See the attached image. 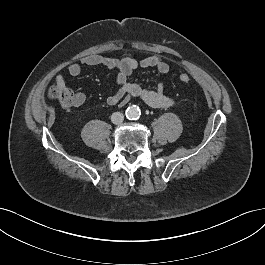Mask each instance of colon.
<instances>
[{
  "mask_svg": "<svg viewBox=\"0 0 265 265\" xmlns=\"http://www.w3.org/2000/svg\"><path fill=\"white\" fill-rule=\"evenodd\" d=\"M179 80L182 83H189L191 81V77L188 73L182 72L179 74ZM49 96L50 98L56 100L62 107H68L72 105L73 96L71 92L65 88L55 86L51 88Z\"/></svg>",
  "mask_w": 265,
  "mask_h": 265,
  "instance_id": "5ec220e1",
  "label": "colon"
}]
</instances>
